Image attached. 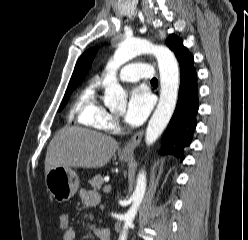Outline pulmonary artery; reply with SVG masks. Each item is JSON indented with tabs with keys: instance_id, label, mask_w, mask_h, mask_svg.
I'll use <instances>...</instances> for the list:
<instances>
[{
	"instance_id": "e3ab8cb5",
	"label": "pulmonary artery",
	"mask_w": 248,
	"mask_h": 240,
	"mask_svg": "<svg viewBox=\"0 0 248 240\" xmlns=\"http://www.w3.org/2000/svg\"><path fill=\"white\" fill-rule=\"evenodd\" d=\"M119 78L125 82H137L141 79L151 80L154 78V72L151 66L146 63L133 62L120 70Z\"/></svg>"
}]
</instances>
